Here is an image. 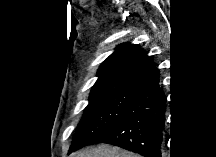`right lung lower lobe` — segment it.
I'll return each instance as SVG.
<instances>
[{
	"label": "right lung lower lobe",
	"mask_w": 216,
	"mask_h": 157,
	"mask_svg": "<svg viewBox=\"0 0 216 157\" xmlns=\"http://www.w3.org/2000/svg\"><path fill=\"white\" fill-rule=\"evenodd\" d=\"M159 81L136 89L121 118L94 143L111 144L144 157H163L166 97Z\"/></svg>",
	"instance_id": "1"
}]
</instances>
